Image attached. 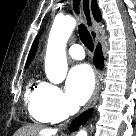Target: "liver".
<instances>
[{
  "label": "liver",
  "instance_id": "obj_1",
  "mask_svg": "<svg viewBox=\"0 0 136 136\" xmlns=\"http://www.w3.org/2000/svg\"><path fill=\"white\" fill-rule=\"evenodd\" d=\"M55 133V129H45L38 124H29L20 128L14 136H54Z\"/></svg>",
  "mask_w": 136,
  "mask_h": 136
}]
</instances>
